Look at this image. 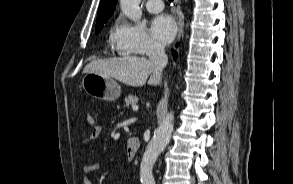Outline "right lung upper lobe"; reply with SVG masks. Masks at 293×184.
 <instances>
[{
  "mask_svg": "<svg viewBox=\"0 0 293 184\" xmlns=\"http://www.w3.org/2000/svg\"><path fill=\"white\" fill-rule=\"evenodd\" d=\"M116 3H117V0H101L100 1L96 26L103 25L110 18V16H112L116 7Z\"/></svg>",
  "mask_w": 293,
  "mask_h": 184,
  "instance_id": "obj_1",
  "label": "right lung upper lobe"
}]
</instances>
